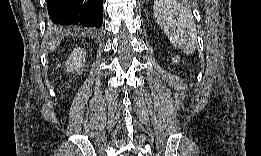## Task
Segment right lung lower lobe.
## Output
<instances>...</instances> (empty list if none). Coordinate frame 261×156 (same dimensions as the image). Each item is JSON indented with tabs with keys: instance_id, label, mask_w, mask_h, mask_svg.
Instances as JSON below:
<instances>
[{
	"instance_id": "98d812e1",
	"label": "right lung lower lobe",
	"mask_w": 261,
	"mask_h": 156,
	"mask_svg": "<svg viewBox=\"0 0 261 156\" xmlns=\"http://www.w3.org/2000/svg\"><path fill=\"white\" fill-rule=\"evenodd\" d=\"M47 8L53 28L102 25V0H47Z\"/></svg>"
}]
</instances>
